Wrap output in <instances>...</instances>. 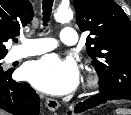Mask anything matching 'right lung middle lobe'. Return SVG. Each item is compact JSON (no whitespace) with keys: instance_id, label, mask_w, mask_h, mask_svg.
I'll return each instance as SVG.
<instances>
[{"instance_id":"right-lung-middle-lobe-1","label":"right lung middle lobe","mask_w":131,"mask_h":115,"mask_svg":"<svg viewBox=\"0 0 131 115\" xmlns=\"http://www.w3.org/2000/svg\"><path fill=\"white\" fill-rule=\"evenodd\" d=\"M3 58H4V56L0 57V61H1V59H3ZM1 65H2V63L0 62V74L9 72V71H4Z\"/></svg>"}]
</instances>
